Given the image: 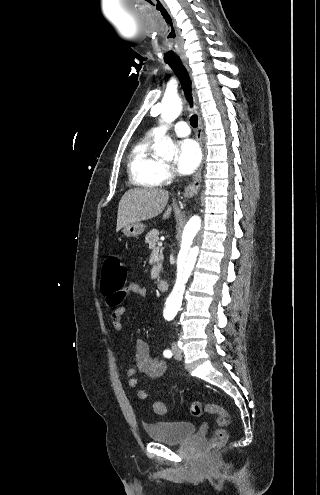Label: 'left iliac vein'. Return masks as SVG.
<instances>
[{"mask_svg": "<svg viewBox=\"0 0 320 495\" xmlns=\"http://www.w3.org/2000/svg\"><path fill=\"white\" fill-rule=\"evenodd\" d=\"M172 351H173V354H174V357L177 359V360H181L182 359V351L180 350V348L178 347V345L176 343H173L172 344Z\"/></svg>", "mask_w": 320, "mask_h": 495, "instance_id": "obj_1", "label": "left iliac vein"}]
</instances>
